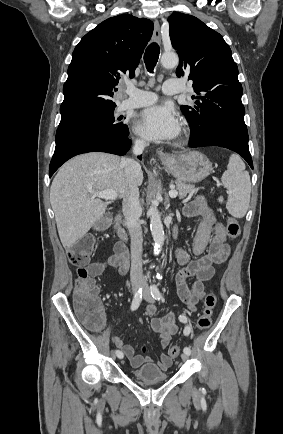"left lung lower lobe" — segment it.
<instances>
[{
	"label": "left lung lower lobe",
	"instance_id": "1",
	"mask_svg": "<svg viewBox=\"0 0 283 434\" xmlns=\"http://www.w3.org/2000/svg\"><path fill=\"white\" fill-rule=\"evenodd\" d=\"M192 148L203 146H218L230 149L241 155L253 169V162L249 152L248 141L231 135H216L198 142H190Z\"/></svg>",
	"mask_w": 283,
	"mask_h": 434
}]
</instances>
